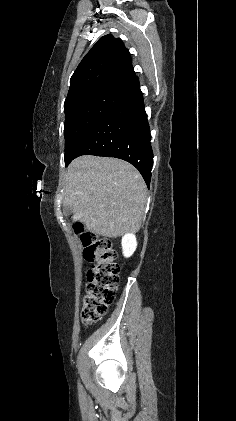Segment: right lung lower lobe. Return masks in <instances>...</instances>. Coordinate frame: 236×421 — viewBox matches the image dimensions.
Instances as JSON below:
<instances>
[{"label":"right lung lower lobe","mask_w":236,"mask_h":421,"mask_svg":"<svg viewBox=\"0 0 236 421\" xmlns=\"http://www.w3.org/2000/svg\"><path fill=\"white\" fill-rule=\"evenodd\" d=\"M121 86L129 95L83 137L71 161L87 154L120 158L134 165L149 187L153 152L139 79L134 74Z\"/></svg>","instance_id":"obj_1"}]
</instances>
